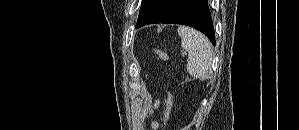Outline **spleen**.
Instances as JSON below:
<instances>
[{
    "label": "spleen",
    "instance_id": "1",
    "mask_svg": "<svg viewBox=\"0 0 299 130\" xmlns=\"http://www.w3.org/2000/svg\"><path fill=\"white\" fill-rule=\"evenodd\" d=\"M181 46L188 52L187 72L195 79H205L210 74L212 47L209 40L197 30L179 26Z\"/></svg>",
    "mask_w": 299,
    "mask_h": 130
}]
</instances>
